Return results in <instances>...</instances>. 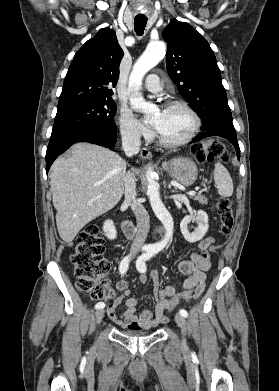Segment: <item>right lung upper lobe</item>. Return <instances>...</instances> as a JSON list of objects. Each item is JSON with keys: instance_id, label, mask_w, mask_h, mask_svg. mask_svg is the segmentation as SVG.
<instances>
[{"instance_id": "1", "label": "right lung upper lobe", "mask_w": 279, "mask_h": 391, "mask_svg": "<svg viewBox=\"0 0 279 391\" xmlns=\"http://www.w3.org/2000/svg\"><path fill=\"white\" fill-rule=\"evenodd\" d=\"M123 55L115 32L109 28L99 30L75 54L64 80L58 109L82 102L111 100L110 86L115 87L118 81Z\"/></svg>"}]
</instances>
